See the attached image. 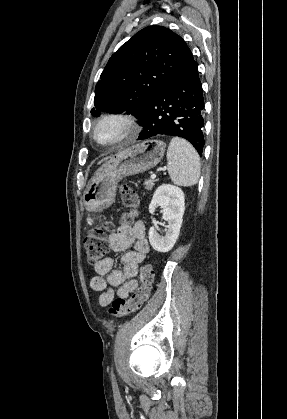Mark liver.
<instances>
[{"label":"liver","instance_id":"1","mask_svg":"<svg viewBox=\"0 0 287 419\" xmlns=\"http://www.w3.org/2000/svg\"><path fill=\"white\" fill-rule=\"evenodd\" d=\"M108 158H105L104 160H102V161H105V160H107ZM102 161H100V162H102Z\"/></svg>","mask_w":287,"mask_h":419}]
</instances>
